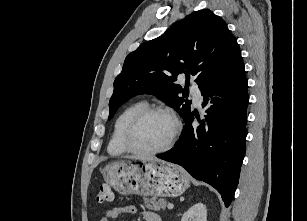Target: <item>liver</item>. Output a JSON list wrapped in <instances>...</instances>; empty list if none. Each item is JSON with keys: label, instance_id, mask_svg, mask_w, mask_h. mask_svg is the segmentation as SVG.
Listing matches in <instances>:
<instances>
[{"label": "liver", "instance_id": "obj_1", "mask_svg": "<svg viewBox=\"0 0 307 221\" xmlns=\"http://www.w3.org/2000/svg\"><path fill=\"white\" fill-rule=\"evenodd\" d=\"M126 158H130V159H140V160H153V158L136 157V156H130V157H126Z\"/></svg>", "mask_w": 307, "mask_h": 221}]
</instances>
